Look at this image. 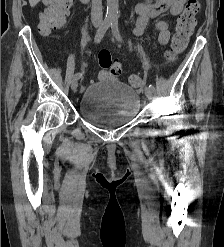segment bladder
<instances>
[{"instance_id": "bladder-1", "label": "bladder", "mask_w": 224, "mask_h": 247, "mask_svg": "<svg viewBox=\"0 0 224 247\" xmlns=\"http://www.w3.org/2000/svg\"><path fill=\"white\" fill-rule=\"evenodd\" d=\"M139 109L138 93L114 79H103L89 85L78 103L81 118L102 129H114L130 122Z\"/></svg>"}]
</instances>
